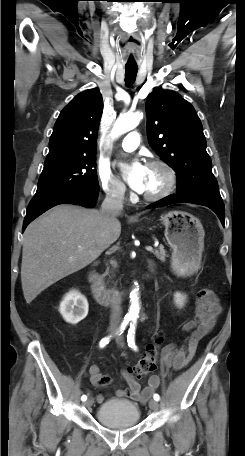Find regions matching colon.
Listing matches in <instances>:
<instances>
[{"instance_id": "1", "label": "colon", "mask_w": 245, "mask_h": 456, "mask_svg": "<svg viewBox=\"0 0 245 456\" xmlns=\"http://www.w3.org/2000/svg\"><path fill=\"white\" fill-rule=\"evenodd\" d=\"M163 343V334L161 330H156L152 335V341L146 347L144 356L131 369V373L136 378H141L156 369L159 357L160 347Z\"/></svg>"}]
</instances>
